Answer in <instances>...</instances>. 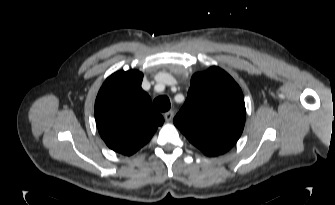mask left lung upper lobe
Instances as JSON below:
<instances>
[{"mask_svg":"<svg viewBox=\"0 0 335 205\" xmlns=\"http://www.w3.org/2000/svg\"><path fill=\"white\" fill-rule=\"evenodd\" d=\"M245 116L240 87L224 70L213 66L192 76L187 99L173 122L205 155L217 156L235 145Z\"/></svg>","mask_w":335,"mask_h":205,"instance_id":"5c2ea615","label":"left lung upper lobe"}]
</instances>
